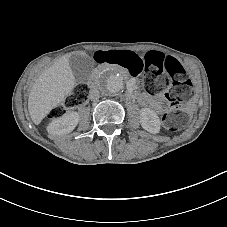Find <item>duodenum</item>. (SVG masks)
<instances>
[{"instance_id": "duodenum-1", "label": "duodenum", "mask_w": 227, "mask_h": 227, "mask_svg": "<svg viewBox=\"0 0 227 227\" xmlns=\"http://www.w3.org/2000/svg\"><path fill=\"white\" fill-rule=\"evenodd\" d=\"M129 84H132V83L129 82ZM128 95H129L130 97H138L139 103H140L141 105L146 106V95L138 96L137 94H135V92L133 91V89H130V90H129Z\"/></svg>"}]
</instances>
